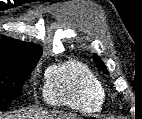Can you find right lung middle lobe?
Returning <instances> with one entry per match:
<instances>
[{
    "mask_svg": "<svg viewBox=\"0 0 142 119\" xmlns=\"http://www.w3.org/2000/svg\"><path fill=\"white\" fill-rule=\"evenodd\" d=\"M37 62L0 67V110L20 96L23 83Z\"/></svg>",
    "mask_w": 142,
    "mask_h": 119,
    "instance_id": "right-lung-middle-lobe-1",
    "label": "right lung middle lobe"
}]
</instances>
